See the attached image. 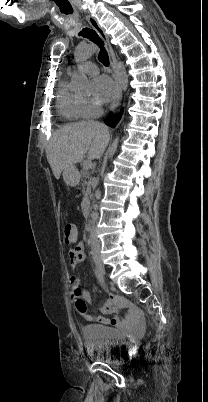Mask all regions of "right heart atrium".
<instances>
[{
	"mask_svg": "<svg viewBox=\"0 0 208 402\" xmlns=\"http://www.w3.org/2000/svg\"><path fill=\"white\" fill-rule=\"evenodd\" d=\"M81 109L82 115L85 120L96 119L102 112V101L91 95H81Z\"/></svg>",
	"mask_w": 208,
	"mask_h": 402,
	"instance_id": "d8ad5b80",
	"label": "right heart atrium"
}]
</instances>
